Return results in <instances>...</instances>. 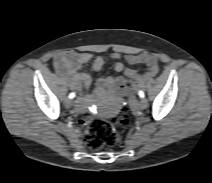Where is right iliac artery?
I'll use <instances>...</instances> for the list:
<instances>
[{"label": "right iliac artery", "mask_w": 212, "mask_h": 183, "mask_svg": "<svg viewBox=\"0 0 212 183\" xmlns=\"http://www.w3.org/2000/svg\"><path fill=\"white\" fill-rule=\"evenodd\" d=\"M74 97H75V93H70V94H69V98L72 99V98H74Z\"/></svg>", "instance_id": "obj_1"}]
</instances>
